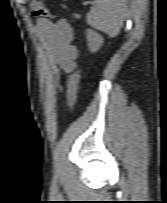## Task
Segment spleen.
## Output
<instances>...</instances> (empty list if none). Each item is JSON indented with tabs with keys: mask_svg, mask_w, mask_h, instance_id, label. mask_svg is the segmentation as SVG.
Masks as SVG:
<instances>
[{
	"mask_svg": "<svg viewBox=\"0 0 167 203\" xmlns=\"http://www.w3.org/2000/svg\"><path fill=\"white\" fill-rule=\"evenodd\" d=\"M127 0H95L94 6L87 14L86 22L109 37L116 36L127 11ZM79 18V16H76Z\"/></svg>",
	"mask_w": 167,
	"mask_h": 203,
	"instance_id": "1",
	"label": "spleen"
}]
</instances>
